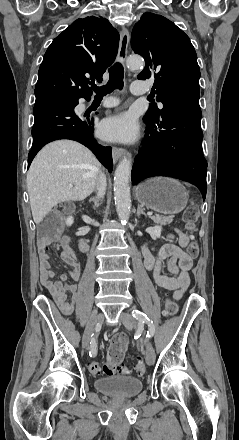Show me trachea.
Segmentation results:
<instances>
[{
	"instance_id": "trachea-1",
	"label": "trachea",
	"mask_w": 239,
	"mask_h": 440,
	"mask_svg": "<svg viewBox=\"0 0 239 440\" xmlns=\"http://www.w3.org/2000/svg\"><path fill=\"white\" fill-rule=\"evenodd\" d=\"M109 80L106 85L97 87V85H91V88L95 91L96 99H102L108 93L113 92V90H122L124 86V69L121 63H115L111 68H109Z\"/></svg>"
}]
</instances>
